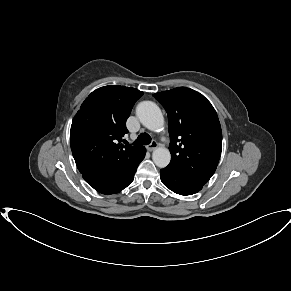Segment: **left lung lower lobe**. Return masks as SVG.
Returning a JSON list of instances; mask_svg holds the SVG:
<instances>
[{
	"label": "left lung lower lobe",
	"instance_id": "0a47b994",
	"mask_svg": "<svg viewBox=\"0 0 291 291\" xmlns=\"http://www.w3.org/2000/svg\"><path fill=\"white\" fill-rule=\"evenodd\" d=\"M160 178L167 188L180 195L195 194L204 186L203 183L192 180L170 167L160 170Z\"/></svg>",
	"mask_w": 291,
	"mask_h": 291
}]
</instances>
